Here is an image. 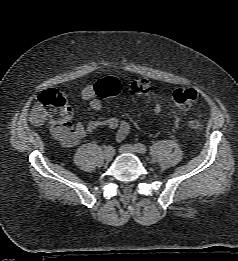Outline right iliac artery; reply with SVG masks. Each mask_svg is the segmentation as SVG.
<instances>
[{
    "instance_id": "obj_1",
    "label": "right iliac artery",
    "mask_w": 238,
    "mask_h": 261,
    "mask_svg": "<svg viewBox=\"0 0 238 261\" xmlns=\"http://www.w3.org/2000/svg\"><path fill=\"white\" fill-rule=\"evenodd\" d=\"M114 148H115L114 145H109V146L106 147V150H107V152L110 153L114 150Z\"/></svg>"
}]
</instances>
